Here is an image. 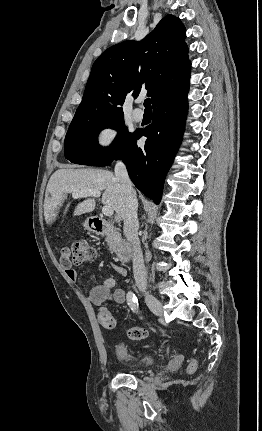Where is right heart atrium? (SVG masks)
Listing matches in <instances>:
<instances>
[{
  "label": "right heart atrium",
  "instance_id": "1",
  "mask_svg": "<svg viewBox=\"0 0 262 431\" xmlns=\"http://www.w3.org/2000/svg\"><path fill=\"white\" fill-rule=\"evenodd\" d=\"M119 136L118 128L114 124L101 126L95 136L94 143L97 149L106 151L115 146Z\"/></svg>",
  "mask_w": 262,
  "mask_h": 431
}]
</instances>
